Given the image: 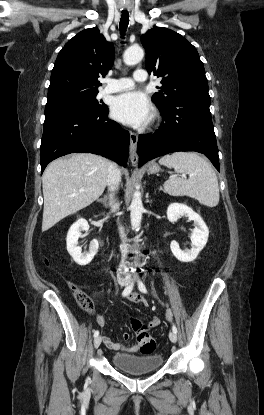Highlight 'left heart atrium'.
<instances>
[{
	"label": "left heart atrium",
	"mask_w": 264,
	"mask_h": 415,
	"mask_svg": "<svg viewBox=\"0 0 264 415\" xmlns=\"http://www.w3.org/2000/svg\"><path fill=\"white\" fill-rule=\"evenodd\" d=\"M152 106L141 92L131 91L117 96L112 104L113 116L124 123L138 127L146 124L152 117Z\"/></svg>",
	"instance_id": "39dd6f15"
}]
</instances>
